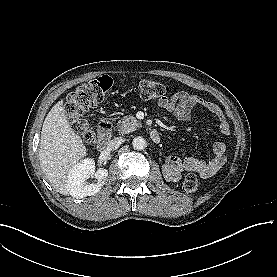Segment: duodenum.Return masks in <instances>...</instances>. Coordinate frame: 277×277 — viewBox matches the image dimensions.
Masks as SVG:
<instances>
[{"label": "duodenum", "instance_id": "duodenum-1", "mask_svg": "<svg viewBox=\"0 0 277 277\" xmlns=\"http://www.w3.org/2000/svg\"><path fill=\"white\" fill-rule=\"evenodd\" d=\"M96 132H97V144L99 146L104 145L111 137L112 123L107 120L100 121L96 127ZM150 138L154 142L159 141L160 140L159 132L156 129L151 130Z\"/></svg>", "mask_w": 277, "mask_h": 277}]
</instances>
